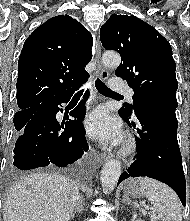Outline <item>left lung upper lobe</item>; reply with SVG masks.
<instances>
[{
	"label": "left lung upper lobe",
	"instance_id": "obj_1",
	"mask_svg": "<svg viewBox=\"0 0 190 221\" xmlns=\"http://www.w3.org/2000/svg\"><path fill=\"white\" fill-rule=\"evenodd\" d=\"M100 40L106 50L121 55L116 76L122 77L134 90L133 106L118 112L129 118L131 108L146 104L177 107L176 64L169 42L143 20L126 14H112L101 27Z\"/></svg>",
	"mask_w": 190,
	"mask_h": 221
}]
</instances>
